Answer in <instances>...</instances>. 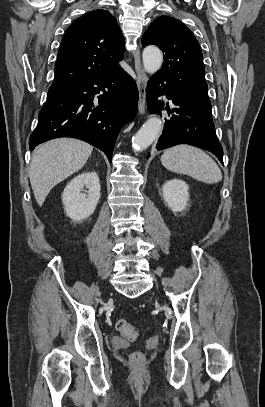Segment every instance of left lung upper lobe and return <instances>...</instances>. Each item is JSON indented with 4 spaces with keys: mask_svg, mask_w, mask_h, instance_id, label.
<instances>
[{
    "mask_svg": "<svg viewBox=\"0 0 265 407\" xmlns=\"http://www.w3.org/2000/svg\"><path fill=\"white\" fill-rule=\"evenodd\" d=\"M149 44L164 53L162 69L157 73L184 97L211 111L203 55L193 33L181 21L161 16L142 37L143 47Z\"/></svg>",
    "mask_w": 265,
    "mask_h": 407,
    "instance_id": "left-lung-upper-lobe-1",
    "label": "left lung upper lobe"
}]
</instances>
